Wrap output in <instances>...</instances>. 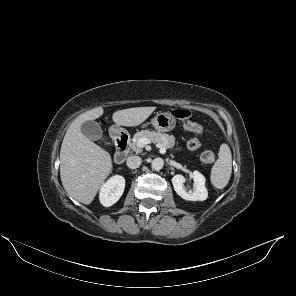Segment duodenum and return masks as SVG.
<instances>
[{
	"label": "duodenum",
	"instance_id": "410a0bca",
	"mask_svg": "<svg viewBox=\"0 0 296 296\" xmlns=\"http://www.w3.org/2000/svg\"><path fill=\"white\" fill-rule=\"evenodd\" d=\"M112 137L116 144V151L114 154V161L117 164H121L126 160L128 136L121 130H112Z\"/></svg>",
	"mask_w": 296,
	"mask_h": 296
}]
</instances>
